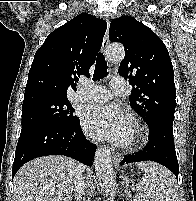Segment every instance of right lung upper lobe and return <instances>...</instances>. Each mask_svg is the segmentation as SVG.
<instances>
[{"label": "right lung upper lobe", "mask_w": 196, "mask_h": 201, "mask_svg": "<svg viewBox=\"0 0 196 201\" xmlns=\"http://www.w3.org/2000/svg\"><path fill=\"white\" fill-rule=\"evenodd\" d=\"M106 27L105 20L81 13L50 33L35 53L24 99L66 97L68 88H75L78 76H89Z\"/></svg>", "instance_id": "obj_1"}]
</instances>
